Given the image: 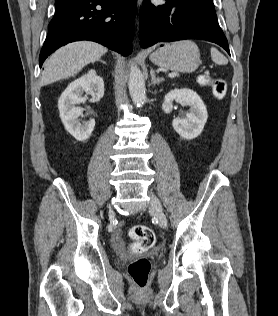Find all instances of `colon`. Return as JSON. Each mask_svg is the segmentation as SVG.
<instances>
[{
  "label": "colon",
  "mask_w": 278,
  "mask_h": 316,
  "mask_svg": "<svg viewBox=\"0 0 278 316\" xmlns=\"http://www.w3.org/2000/svg\"><path fill=\"white\" fill-rule=\"evenodd\" d=\"M200 83L209 86L217 99L225 97L227 85L224 79L202 76ZM129 234L133 240L130 248L134 254H142L148 251L155 243V233L147 226H134L131 228ZM150 271L151 263L148 259L143 257L133 260L128 267L129 275L138 289H144L147 286Z\"/></svg>",
  "instance_id": "obj_1"
}]
</instances>
